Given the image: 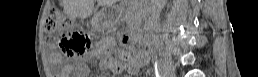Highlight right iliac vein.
Masks as SVG:
<instances>
[{"instance_id": "63e3f726", "label": "right iliac vein", "mask_w": 258, "mask_h": 77, "mask_svg": "<svg viewBox=\"0 0 258 77\" xmlns=\"http://www.w3.org/2000/svg\"><path fill=\"white\" fill-rule=\"evenodd\" d=\"M160 65L162 66L163 72L168 77H174V68L167 56H162L160 59Z\"/></svg>"}]
</instances>
